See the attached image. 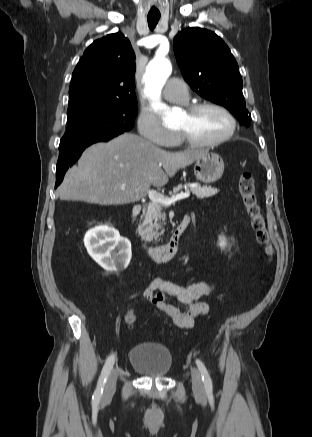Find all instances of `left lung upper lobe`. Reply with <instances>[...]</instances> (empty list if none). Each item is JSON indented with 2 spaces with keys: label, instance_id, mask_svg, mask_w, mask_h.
I'll return each instance as SVG.
<instances>
[{
  "label": "left lung upper lobe",
  "instance_id": "obj_1",
  "mask_svg": "<svg viewBox=\"0 0 312 437\" xmlns=\"http://www.w3.org/2000/svg\"><path fill=\"white\" fill-rule=\"evenodd\" d=\"M174 53L194 91L226 107L241 125L249 126L251 115L246 109L239 67L220 37L199 27L184 29L174 38Z\"/></svg>",
  "mask_w": 312,
  "mask_h": 437
}]
</instances>
